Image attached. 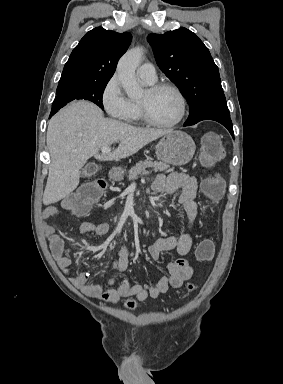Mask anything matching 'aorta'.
Returning a JSON list of instances; mask_svg holds the SVG:
<instances>
[{
  "label": "aorta",
  "instance_id": "1",
  "mask_svg": "<svg viewBox=\"0 0 283 384\" xmlns=\"http://www.w3.org/2000/svg\"><path fill=\"white\" fill-rule=\"evenodd\" d=\"M142 56L143 49L138 47L127 51L118 62V78L130 98H137L143 92L135 76V70L139 66Z\"/></svg>",
  "mask_w": 283,
  "mask_h": 384
}]
</instances>
